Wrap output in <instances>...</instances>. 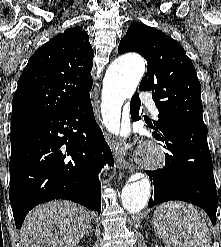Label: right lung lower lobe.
<instances>
[{
  "instance_id": "obj_1",
  "label": "right lung lower lobe",
  "mask_w": 221,
  "mask_h": 247,
  "mask_svg": "<svg viewBox=\"0 0 221 247\" xmlns=\"http://www.w3.org/2000/svg\"><path fill=\"white\" fill-rule=\"evenodd\" d=\"M9 199L16 228L35 206L67 199L101 212L103 162L114 165L91 100L64 112L11 122ZM103 153V154H102Z\"/></svg>"
}]
</instances>
